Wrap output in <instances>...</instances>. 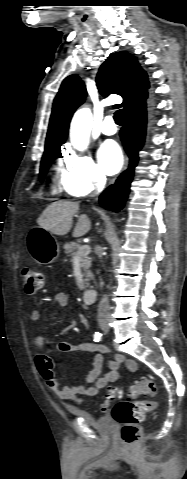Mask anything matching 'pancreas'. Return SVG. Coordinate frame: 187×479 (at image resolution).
<instances>
[{"mask_svg": "<svg viewBox=\"0 0 187 479\" xmlns=\"http://www.w3.org/2000/svg\"><path fill=\"white\" fill-rule=\"evenodd\" d=\"M80 244L76 242H66L63 246L65 253L68 257H71L73 260L78 252ZM81 268L83 269V276H84V287L87 288L90 285V280L93 279V274L90 270V258L87 256H83L79 258Z\"/></svg>", "mask_w": 187, "mask_h": 479, "instance_id": "cf45deb5", "label": "pancreas"}]
</instances>
